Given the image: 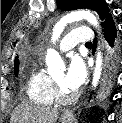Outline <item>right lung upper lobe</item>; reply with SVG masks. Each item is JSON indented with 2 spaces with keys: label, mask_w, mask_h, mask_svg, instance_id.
<instances>
[{
  "label": "right lung upper lobe",
  "mask_w": 122,
  "mask_h": 123,
  "mask_svg": "<svg viewBox=\"0 0 122 123\" xmlns=\"http://www.w3.org/2000/svg\"><path fill=\"white\" fill-rule=\"evenodd\" d=\"M19 66V61H18V58L16 57L15 59V67Z\"/></svg>",
  "instance_id": "right-lung-upper-lobe-1"
}]
</instances>
